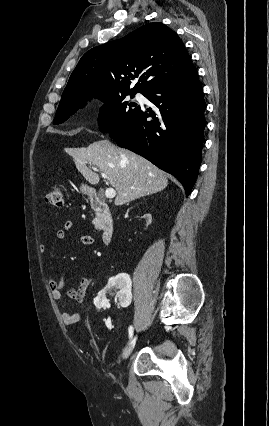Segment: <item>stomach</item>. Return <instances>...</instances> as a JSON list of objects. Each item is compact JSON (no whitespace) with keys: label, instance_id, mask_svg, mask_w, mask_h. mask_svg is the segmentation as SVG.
Here are the masks:
<instances>
[{"label":"stomach","instance_id":"stomach-1","mask_svg":"<svg viewBox=\"0 0 269 426\" xmlns=\"http://www.w3.org/2000/svg\"><path fill=\"white\" fill-rule=\"evenodd\" d=\"M80 190L82 191L83 194H87V195H90L92 192V189L88 187L87 185H82L80 187Z\"/></svg>","mask_w":269,"mask_h":426}]
</instances>
